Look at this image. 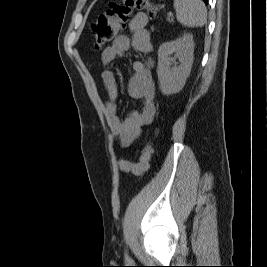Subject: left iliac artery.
<instances>
[{"label": "left iliac artery", "instance_id": "44dca946", "mask_svg": "<svg viewBox=\"0 0 267 267\" xmlns=\"http://www.w3.org/2000/svg\"><path fill=\"white\" fill-rule=\"evenodd\" d=\"M126 258H127V259L129 258L127 254H126Z\"/></svg>", "mask_w": 267, "mask_h": 267}]
</instances>
